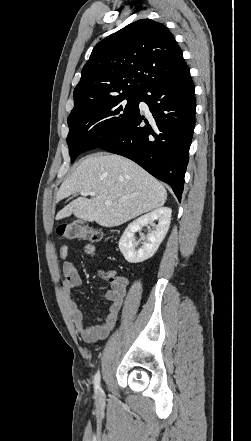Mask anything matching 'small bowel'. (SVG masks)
I'll list each match as a JSON object with an SVG mask.
<instances>
[{"mask_svg":"<svg viewBox=\"0 0 251 441\" xmlns=\"http://www.w3.org/2000/svg\"><path fill=\"white\" fill-rule=\"evenodd\" d=\"M83 250L89 258H94L96 247L93 244L88 243L84 245ZM59 256L63 260L68 258V245L65 244L60 247ZM62 272L65 278L63 287L68 295V308L77 332L87 343H94L96 341L105 339L117 323L123 298L126 294L127 283H111L110 288L105 292V299L109 303L106 315L99 319L97 323L87 324L84 315L79 309L76 299L72 293L74 290L82 286V278L79 275L75 265L70 261H65L63 263ZM99 273L103 277H108L109 275L102 269H99Z\"/></svg>","mask_w":251,"mask_h":441,"instance_id":"obj_1","label":"small bowel"}]
</instances>
